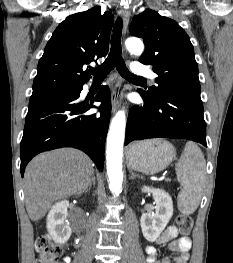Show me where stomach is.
Masks as SVG:
<instances>
[{
	"instance_id": "1",
	"label": "stomach",
	"mask_w": 233,
	"mask_h": 263,
	"mask_svg": "<svg viewBox=\"0 0 233 263\" xmlns=\"http://www.w3.org/2000/svg\"><path fill=\"white\" fill-rule=\"evenodd\" d=\"M172 144L161 139L133 143L127 152L129 169L154 174L165 169L175 158Z\"/></svg>"
}]
</instances>
